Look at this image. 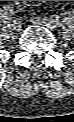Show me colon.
Wrapping results in <instances>:
<instances>
[{
    "mask_svg": "<svg viewBox=\"0 0 74 122\" xmlns=\"http://www.w3.org/2000/svg\"><path fill=\"white\" fill-rule=\"evenodd\" d=\"M41 1H24V3L29 4V5H34V4H38Z\"/></svg>",
    "mask_w": 74,
    "mask_h": 122,
    "instance_id": "5ec220e1",
    "label": "colon"
}]
</instances>
